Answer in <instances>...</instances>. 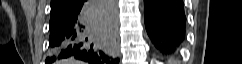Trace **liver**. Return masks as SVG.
Segmentation results:
<instances>
[{
	"label": "liver",
	"instance_id": "6515ba94",
	"mask_svg": "<svg viewBox=\"0 0 242 64\" xmlns=\"http://www.w3.org/2000/svg\"><path fill=\"white\" fill-rule=\"evenodd\" d=\"M64 62L65 64H82L80 61H72V60H66Z\"/></svg>",
	"mask_w": 242,
	"mask_h": 64
}]
</instances>
